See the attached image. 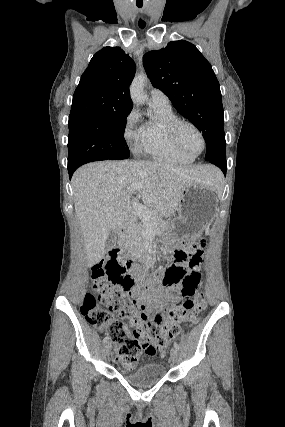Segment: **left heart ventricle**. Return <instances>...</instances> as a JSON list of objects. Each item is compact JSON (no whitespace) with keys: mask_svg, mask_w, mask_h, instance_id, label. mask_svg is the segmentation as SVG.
<instances>
[{"mask_svg":"<svg viewBox=\"0 0 285 427\" xmlns=\"http://www.w3.org/2000/svg\"><path fill=\"white\" fill-rule=\"evenodd\" d=\"M179 140L183 147L192 154L199 152L202 147L198 134L188 126L180 129Z\"/></svg>","mask_w":285,"mask_h":427,"instance_id":"left-heart-ventricle-1","label":"left heart ventricle"}]
</instances>
